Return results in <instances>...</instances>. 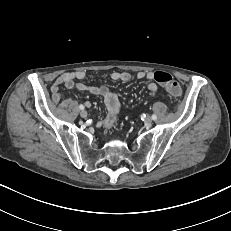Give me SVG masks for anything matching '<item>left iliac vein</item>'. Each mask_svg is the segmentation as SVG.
Returning a JSON list of instances; mask_svg holds the SVG:
<instances>
[{"instance_id":"1","label":"left iliac vein","mask_w":231,"mask_h":231,"mask_svg":"<svg viewBox=\"0 0 231 231\" xmlns=\"http://www.w3.org/2000/svg\"><path fill=\"white\" fill-rule=\"evenodd\" d=\"M145 125H146L147 127H150V126L152 125V119H151L150 117H147V118L145 119Z\"/></svg>"}]
</instances>
